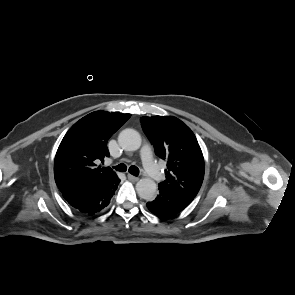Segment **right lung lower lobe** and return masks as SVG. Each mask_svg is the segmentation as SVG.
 I'll use <instances>...</instances> for the list:
<instances>
[{
	"mask_svg": "<svg viewBox=\"0 0 295 295\" xmlns=\"http://www.w3.org/2000/svg\"><path fill=\"white\" fill-rule=\"evenodd\" d=\"M119 182L120 179L115 175L95 188L82 192L64 194L63 197L78 211L86 215H94L109 204Z\"/></svg>",
	"mask_w": 295,
	"mask_h": 295,
	"instance_id": "1",
	"label": "right lung lower lobe"
}]
</instances>
